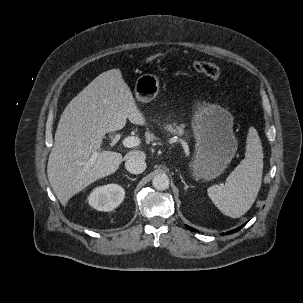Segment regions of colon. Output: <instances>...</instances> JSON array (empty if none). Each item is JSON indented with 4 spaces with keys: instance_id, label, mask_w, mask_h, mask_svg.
<instances>
[{
    "instance_id": "5ec220e1",
    "label": "colon",
    "mask_w": 303,
    "mask_h": 303,
    "mask_svg": "<svg viewBox=\"0 0 303 303\" xmlns=\"http://www.w3.org/2000/svg\"><path fill=\"white\" fill-rule=\"evenodd\" d=\"M161 57L160 53H156L148 57L147 61L150 64L155 63L159 58ZM194 69L201 73L204 74L212 79H219L221 77V69L216 66L215 64L209 63V62H204V61H195L193 63Z\"/></svg>"
}]
</instances>
